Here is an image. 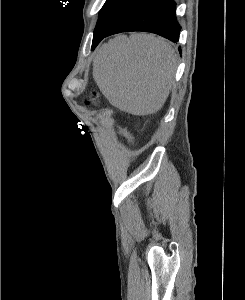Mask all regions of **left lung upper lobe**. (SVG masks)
Listing matches in <instances>:
<instances>
[{
    "mask_svg": "<svg viewBox=\"0 0 245 300\" xmlns=\"http://www.w3.org/2000/svg\"><path fill=\"white\" fill-rule=\"evenodd\" d=\"M142 0H106L99 13L94 32L105 33L129 9Z\"/></svg>",
    "mask_w": 245,
    "mask_h": 300,
    "instance_id": "left-lung-upper-lobe-1",
    "label": "left lung upper lobe"
}]
</instances>
